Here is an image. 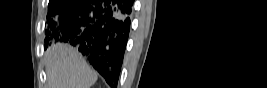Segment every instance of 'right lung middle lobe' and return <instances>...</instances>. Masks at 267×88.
Returning a JSON list of instances; mask_svg holds the SVG:
<instances>
[{"instance_id":"obj_1","label":"right lung middle lobe","mask_w":267,"mask_h":88,"mask_svg":"<svg viewBox=\"0 0 267 88\" xmlns=\"http://www.w3.org/2000/svg\"><path fill=\"white\" fill-rule=\"evenodd\" d=\"M74 0H50L48 5V21L52 20L60 12L66 9ZM47 37L45 42L50 38V32L46 30Z\"/></svg>"}]
</instances>
